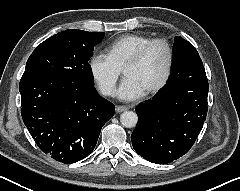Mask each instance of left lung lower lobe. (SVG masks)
<instances>
[{"instance_id": "obj_1", "label": "left lung lower lobe", "mask_w": 240, "mask_h": 191, "mask_svg": "<svg viewBox=\"0 0 240 191\" xmlns=\"http://www.w3.org/2000/svg\"><path fill=\"white\" fill-rule=\"evenodd\" d=\"M208 91L204 67H176L152 99L137 105L139 121L131 135L134 150L156 164L185 155L206 120Z\"/></svg>"}]
</instances>
